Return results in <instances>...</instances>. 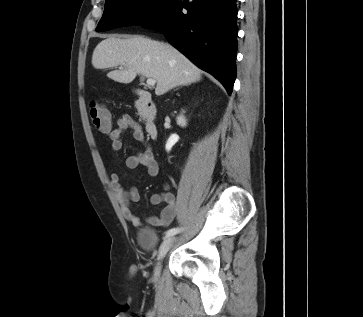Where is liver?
Segmentation results:
<instances>
[{"label":"liver","mask_w":363,"mask_h":317,"mask_svg":"<svg viewBox=\"0 0 363 317\" xmlns=\"http://www.w3.org/2000/svg\"><path fill=\"white\" fill-rule=\"evenodd\" d=\"M92 65L96 69L122 66L107 74L119 83H131L137 74L155 79L157 96L201 79V70L173 46L141 36L102 40L93 51Z\"/></svg>","instance_id":"6515ba94"}]
</instances>
